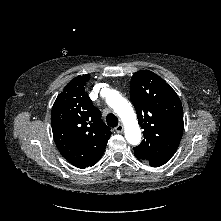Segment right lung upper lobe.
<instances>
[{"label": "right lung upper lobe", "mask_w": 221, "mask_h": 221, "mask_svg": "<svg viewBox=\"0 0 221 221\" xmlns=\"http://www.w3.org/2000/svg\"><path fill=\"white\" fill-rule=\"evenodd\" d=\"M89 74L72 79L56 98L51 124L55 144L73 166H93L102 157L111 136L110 128L91 102L84 85Z\"/></svg>", "instance_id": "cb5924a9"}]
</instances>
